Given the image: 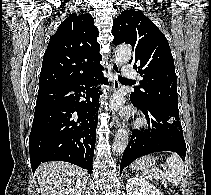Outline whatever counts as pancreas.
<instances>
[{
  "label": "pancreas",
  "mask_w": 211,
  "mask_h": 195,
  "mask_svg": "<svg viewBox=\"0 0 211 195\" xmlns=\"http://www.w3.org/2000/svg\"><path fill=\"white\" fill-rule=\"evenodd\" d=\"M164 185V187H167V184L165 182L162 183Z\"/></svg>",
  "instance_id": "obj_1"
}]
</instances>
